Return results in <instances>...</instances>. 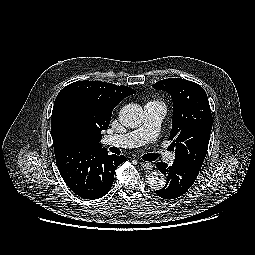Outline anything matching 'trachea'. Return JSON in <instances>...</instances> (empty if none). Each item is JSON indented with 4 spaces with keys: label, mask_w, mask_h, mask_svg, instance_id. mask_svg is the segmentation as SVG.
Wrapping results in <instances>:
<instances>
[{
    "label": "trachea",
    "mask_w": 255,
    "mask_h": 255,
    "mask_svg": "<svg viewBox=\"0 0 255 255\" xmlns=\"http://www.w3.org/2000/svg\"><path fill=\"white\" fill-rule=\"evenodd\" d=\"M111 151L113 152V153H116V154H119L120 153V151H119V149H117V148H111ZM158 154H155V153H147V154H144L143 156H142V159L143 160H145V161H154V160H156L157 158H158Z\"/></svg>",
    "instance_id": "obj_1"
}]
</instances>
